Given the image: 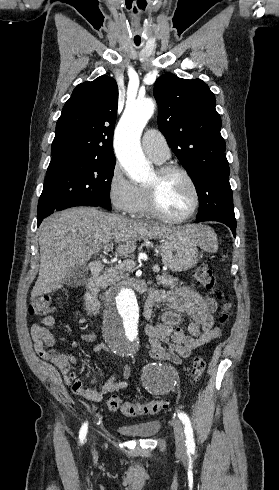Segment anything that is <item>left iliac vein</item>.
<instances>
[{"label":"left iliac vein","instance_id":"left-iliac-vein-1","mask_svg":"<svg viewBox=\"0 0 279 490\" xmlns=\"http://www.w3.org/2000/svg\"><path fill=\"white\" fill-rule=\"evenodd\" d=\"M172 426L174 431L176 450L180 454L184 453L186 451V444L182 423L179 419H173Z\"/></svg>","mask_w":279,"mask_h":490}]
</instances>
